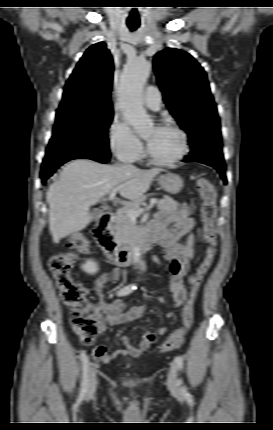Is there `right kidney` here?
<instances>
[{
    "mask_svg": "<svg viewBox=\"0 0 273 430\" xmlns=\"http://www.w3.org/2000/svg\"><path fill=\"white\" fill-rule=\"evenodd\" d=\"M82 270L88 274L94 275L98 272V265L93 260H87L82 266Z\"/></svg>",
    "mask_w": 273,
    "mask_h": 430,
    "instance_id": "right-kidney-1",
    "label": "right kidney"
}]
</instances>
